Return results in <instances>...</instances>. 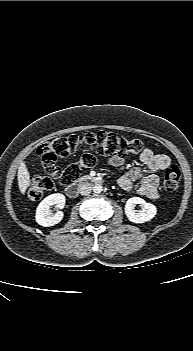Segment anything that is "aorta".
I'll list each match as a JSON object with an SVG mask.
<instances>
[{
  "label": "aorta",
  "mask_w": 193,
  "mask_h": 351,
  "mask_svg": "<svg viewBox=\"0 0 193 351\" xmlns=\"http://www.w3.org/2000/svg\"><path fill=\"white\" fill-rule=\"evenodd\" d=\"M102 190H103V187H102V185H100V184H96V185L93 187L94 193H101Z\"/></svg>",
  "instance_id": "obj_1"
}]
</instances>
